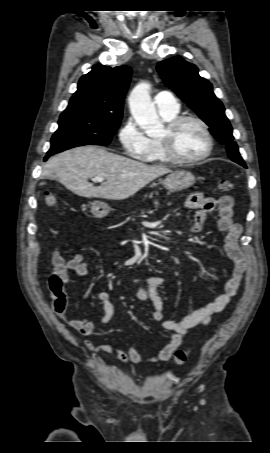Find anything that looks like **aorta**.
<instances>
[{
	"instance_id": "1",
	"label": "aorta",
	"mask_w": 270,
	"mask_h": 453,
	"mask_svg": "<svg viewBox=\"0 0 270 453\" xmlns=\"http://www.w3.org/2000/svg\"><path fill=\"white\" fill-rule=\"evenodd\" d=\"M149 90L150 85L145 82L135 86L129 96V107L137 124L147 135L154 136L163 130V124L151 101Z\"/></svg>"
}]
</instances>
